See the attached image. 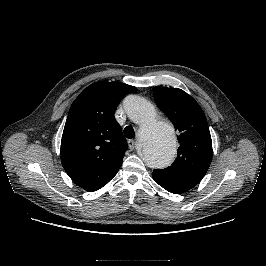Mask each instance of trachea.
<instances>
[{"instance_id": "3493384b", "label": "trachea", "mask_w": 266, "mask_h": 266, "mask_svg": "<svg viewBox=\"0 0 266 266\" xmlns=\"http://www.w3.org/2000/svg\"><path fill=\"white\" fill-rule=\"evenodd\" d=\"M124 135L128 139L133 138L135 136V132H134L133 127H131V126L125 127V129H124Z\"/></svg>"}]
</instances>
